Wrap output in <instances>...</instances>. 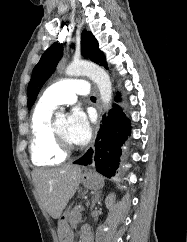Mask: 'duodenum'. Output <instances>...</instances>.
Returning <instances> with one entry per match:
<instances>
[{"label": "duodenum", "instance_id": "1", "mask_svg": "<svg viewBox=\"0 0 187 242\" xmlns=\"http://www.w3.org/2000/svg\"><path fill=\"white\" fill-rule=\"evenodd\" d=\"M90 241H91V236H89V235H82L81 242H90Z\"/></svg>", "mask_w": 187, "mask_h": 242}]
</instances>
